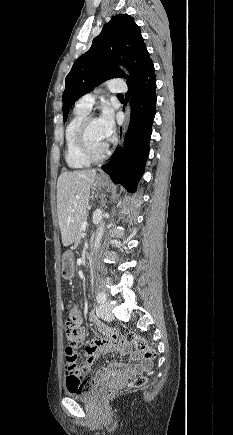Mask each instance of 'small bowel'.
<instances>
[{"instance_id": "1", "label": "small bowel", "mask_w": 233, "mask_h": 435, "mask_svg": "<svg viewBox=\"0 0 233 435\" xmlns=\"http://www.w3.org/2000/svg\"><path fill=\"white\" fill-rule=\"evenodd\" d=\"M76 311L79 313V310L76 306H74ZM89 321L91 324L96 326L98 328V333L101 336L100 339H92L90 340L85 347L86 353L83 355L85 358V362L82 364L80 369H73L70 366L66 365L65 368V376H66V385H69V380L72 376H79L82 373L88 371L91 367V365L104 353L108 351H115L119 353L122 356H130L131 360L136 362V365L133 369H125V372L134 373L137 371L142 370L147 365L142 362L141 357L137 354L131 351V349L125 345H114L112 349H106L104 346V341L107 339V327L98 319L97 315L94 312H91L89 314ZM86 339V331L84 328H80V331L78 332L75 340L77 343H83ZM122 369V365L117 361H112L107 367H101L99 368L91 380H96L99 377H102L106 375L109 372H118Z\"/></svg>"}]
</instances>
